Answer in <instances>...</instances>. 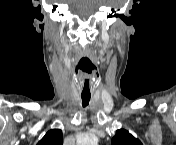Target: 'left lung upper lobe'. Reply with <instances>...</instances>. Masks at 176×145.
<instances>
[{"mask_svg":"<svg viewBox=\"0 0 176 145\" xmlns=\"http://www.w3.org/2000/svg\"><path fill=\"white\" fill-rule=\"evenodd\" d=\"M112 145H142V143L133 137L127 130L119 129L112 138Z\"/></svg>","mask_w":176,"mask_h":145,"instance_id":"5c2ea615","label":"left lung upper lobe"}]
</instances>
